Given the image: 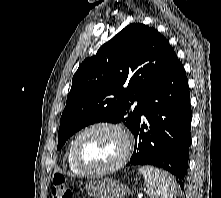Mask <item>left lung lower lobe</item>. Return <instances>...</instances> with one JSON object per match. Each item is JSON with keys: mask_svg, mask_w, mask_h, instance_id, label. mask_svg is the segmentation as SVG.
<instances>
[{"mask_svg": "<svg viewBox=\"0 0 221 198\" xmlns=\"http://www.w3.org/2000/svg\"><path fill=\"white\" fill-rule=\"evenodd\" d=\"M144 115L147 123L141 121ZM191 106L182 63L174 54L162 78L147 94L133 135L132 165H154L180 181L187 174ZM181 188L184 184L180 182Z\"/></svg>", "mask_w": 221, "mask_h": 198, "instance_id": "left-lung-lower-lobe-1", "label": "left lung lower lobe"}]
</instances>
